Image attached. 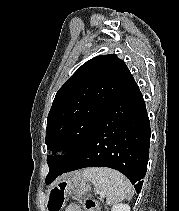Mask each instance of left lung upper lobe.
Instances as JSON below:
<instances>
[{
	"label": "left lung upper lobe",
	"instance_id": "5c2ea615",
	"mask_svg": "<svg viewBox=\"0 0 179 211\" xmlns=\"http://www.w3.org/2000/svg\"><path fill=\"white\" fill-rule=\"evenodd\" d=\"M131 75L116 55H100L84 63L56 93L47 118V148L56 154L63 144L66 155L47 156L46 180L63 173L79 156L100 116Z\"/></svg>",
	"mask_w": 179,
	"mask_h": 211
}]
</instances>
